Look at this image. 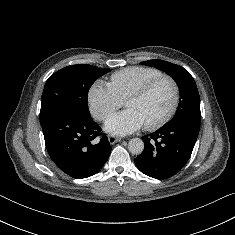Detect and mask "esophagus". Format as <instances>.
<instances>
[{
    "mask_svg": "<svg viewBox=\"0 0 235 235\" xmlns=\"http://www.w3.org/2000/svg\"><path fill=\"white\" fill-rule=\"evenodd\" d=\"M108 141H109L110 144H114V143H116V142L121 141V138H120V137H116V136H114V135H110V136L108 137Z\"/></svg>",
    "mask_w": 235,
    "mask_h": 235,
    "instance_id": "esophagus-1",
    "label": "esophagus"
}]
</instances>
